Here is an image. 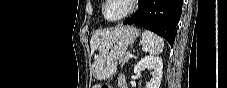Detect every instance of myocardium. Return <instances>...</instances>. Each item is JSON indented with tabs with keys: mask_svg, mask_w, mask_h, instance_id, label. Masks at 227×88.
<instances>
[{
	"mask_svg": "<svg viewBox=\"0 0 227 88\" xmlns=\"http://www.w3.org/2000/svg\"><path fill=\"white\" fill-rule=\"evenodd\" d=\"M136 2L137 0H105L101 8V14L107 22H118L131 14ZM114 3H121L124 6V11L116 17H108L105 10Z\"/></svg>",
	"mask_w": 227,
	"mask_h": 88,
	"instance_id": "1",
	"label": "myocardium"
}]
</instances>
